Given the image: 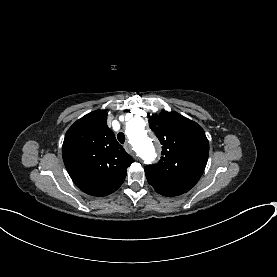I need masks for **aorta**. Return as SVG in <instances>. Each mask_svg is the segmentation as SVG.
Listing matches in <instances>:
<instances>
[{"mask_svg":"<svg viewBox=\"0 0 277 277\" xmlns=\"http://www.w3.org/2000/svg\"><path fill=\"white\" fill-rule=\"evenodd\" d=\"M126 133L137 154L146 162H151L156 157L152 139L145 130V122L140 117L132 118L126 126Z\"/></svg>","mask_w":277,"mask_h":277,"instance_id":"obj_1","label":"aorta"}]
</instances>
